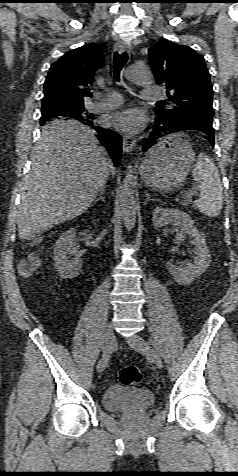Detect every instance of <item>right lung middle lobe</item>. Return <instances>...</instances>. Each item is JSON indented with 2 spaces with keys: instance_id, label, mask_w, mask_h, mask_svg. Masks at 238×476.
Listing matches in <instances>:
<instances>
[{
  "instance_id": "obj_1",
  "label": "right lung middle lobe",
  "mask_w": 238,
  "mask_h": 476,
  "mask_svg": "<svg viewBox=\"0 0 238 476\" xmlns=\"http://www.w3.org/2000/svg\"><path fill=\"white\" fill-rule=\"evenodd\" d=\"M41 123L55 118H73L79 121L94 120V115L85 110L84 105H72L55 101H43Z\"/></svg>"
}]
</instances>
